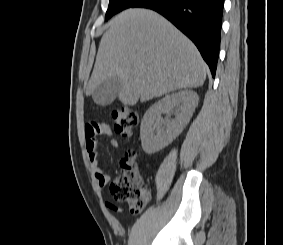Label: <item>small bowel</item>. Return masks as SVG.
<instances>
[{"mask_svg":"<svg viewBox=\"0 0 283 245\" xmlns=\"http://www.w3.org/2000/svg\"><path fill=\"white\" fill-rule=\"evenodd\" d=\"M110 134L111 128L106 123L90 122L85 126L86 149L94 168L95 177L101 188L105 187L109 183L110 176L103 171L99 164L97 152L98 137L109 136ZM110 144L114 147L118 146V142L116 140H111ZM107 206L112 210H118V208L112 204H107Z\"/></svg>","mask_w":283,"mask_h":245,"instance_id":"obj_1","label":"small bowel"}]
</instances>
